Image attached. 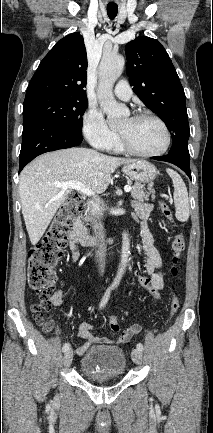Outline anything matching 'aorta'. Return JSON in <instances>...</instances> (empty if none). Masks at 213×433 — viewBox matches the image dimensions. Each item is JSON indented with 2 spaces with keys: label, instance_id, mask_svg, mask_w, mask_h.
Returning <instances> with one entry per match:
<instances>
[{
  "label": "aorta",
  "instance_id": "762f6f07",
  "mask_svg": "<svg viewBox=\"0 0 213 433\" xmlns=\"http://www.w3.org/2000/svg\"><path fill=\"white\" fill-rule=\"evenodd\" d=\"M125 65V59L121 55L104 54L99 65V87L98 100L101 109L107 115L109 125L117 126L127 113L126 109L119 105L112 93V88L117 78L122 74ZM130 254V242L126 232L122 234L121 261L117 275L112 283L117 287L122 279L128 264Z\"/></svg>",
  "mask_w": 213,
  "mask_h": 433
}]
</instances>
